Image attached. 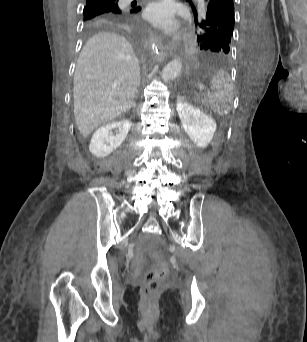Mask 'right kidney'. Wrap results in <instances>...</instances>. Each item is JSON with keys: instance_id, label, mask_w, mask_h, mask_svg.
Here are the masks:
<instances>
[{"instance_id": "obj_1", "label": "right kidney", "mask_w": 307, "mask_h": 342, "mask_svg": "<svg viewBox=\"0 0 307 342\" xmlns=\"http://www.w3.org/2000/svg\"><path fill=\"white\" fill-rule=\"evenodd\" d=\"M130 128L131 122L129 120H118V122L102 126L93 134L89 144V152L93 156H97V158L109 156L113 150L119 148L120 144L124 142ZM112 130H116L118 134L111 136Z\"/></svg>"}]
</instances>
